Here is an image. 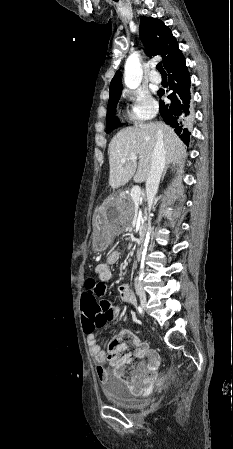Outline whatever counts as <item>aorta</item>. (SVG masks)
<instances>
[{"mask_svg": "<svg viewBox=\"0 0 233 449\" xmlns=\"http://www.w3.org/2000/svg\"><path fill=\"white\" fill-rule=\"evenodd\" d=\"M143 71L136 53L131 54L125 63L124 82L130 89H136L142 81Z\"/></svg>", "mask_w": 233, "mask_h": 449, "instance_id": "aorta-1", "label": "aorta"}]
</instances>
